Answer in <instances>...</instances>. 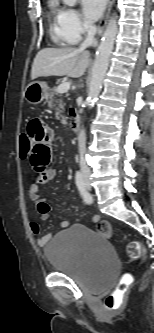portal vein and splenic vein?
<instances>
[{
	"label": "portal vein and splenic vein",
	"mask_w": 154,
	"mask_h": 333,
	"mask_svg": "<svg viewBox=\"0 0 154 333\" xmlns=\"http://www.w3.org/2000/svg\"><path fill=\"white\" fill-rule=\"evenodd\" d=\"M69 89H70V83H69V82H65V83H61V84L57 87L56 91H57L58 93H65V92H67Z\"/></svg>",
	"instance_id": "1"
}]
</instances>
